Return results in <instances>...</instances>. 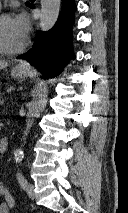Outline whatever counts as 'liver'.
<instances>
[{
  "mask_svg": "<svg viewBox=\"0 0 128 213\" xmlns=\"http://www.w3.org/2000/svg\"><path fill=\"white\" fill-rule=\"evenodd\" d=\"M8 66V62L4 60H0V70L6 68Z\"/></svg>",
  "mask_w": 128,
  "mask_h": 213,
  "instance_id": "liver-1",
  "label": "liver"
}]
</instances>
